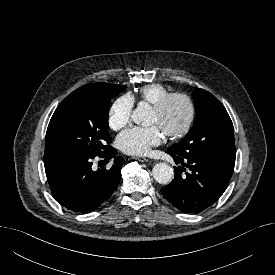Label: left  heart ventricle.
Wrapping results in <instances>:
<instances>
[{
  "mask_svg": "<svg viewBox=\"0 0 275 275\" xmlns=\"http://www.w3.org/2000/svg\"><path fill=\"white\" fill-rule=\"evenodd\" d=\"M186 116V104L182 100L176 99L169 104L166 111L162 114L153 109L150 124L158 125L164 132L166 129H177L181 127L186 120Z\"/></svg>",
  "mask_w": 275,
  "mask_h": 275,
  "instance_id": "1",
  "label": "left heart ventricle"
}]
</instances>
